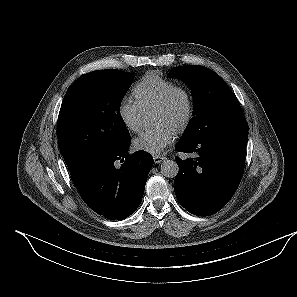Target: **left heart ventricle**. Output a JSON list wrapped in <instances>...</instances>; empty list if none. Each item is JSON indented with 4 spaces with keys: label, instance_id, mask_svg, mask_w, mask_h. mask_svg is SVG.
<instances>
[{
    "label": "left heart ventricle",
    "instance_id": "left-heart-ventricle-1",
    "mask_svg": "<svg viewBox=\"0 0 297 297\" xmlns=\"http://www.w3.org/2000/svg\"><path fill=\"white\" fill-rule=\"evenodd\" d=\"M182 107H183L182 100L177 99L174 110L171 112H167V111L160 110V109L156 108L155 122L158 124L168 123L172 127H174V121H175L176 117L181 113Z\"/></svg>",
    "mask_w": 297,
    "mask_h": 297
}]
</instances>
